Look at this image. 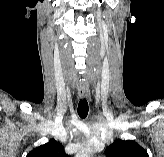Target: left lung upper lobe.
<instances>
[{
	"label": "left lung upper lobe",
	"instance_id": "left-lung-upper-lobe-1",
	"mask_svg": "<svg viewBox=\"0 0 164 157\" xmlns=\"http://www.w3.org/2000/svg\"><path fill=\"white\" fill-rule=\"evenodd\" d=\"M106 157H149L146 150L134 141L117 139L105 150Z\"/></svg>",
	"mask_w": 164,
	"mask_h": 157
}]
</instances>
